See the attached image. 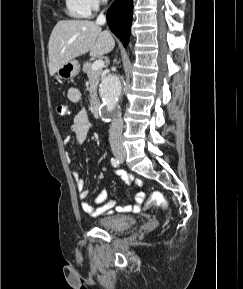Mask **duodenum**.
<instances>
[{"instance_id": "obj_1", "label": "duodenum", "mask_w": 243, "mask_h": 289, "mask_svg": "<svg viewBox=\"0 0 243 289\" xmlns=\"http://www.w3.org/2000/svg\"><path fill=\"white\" fill-rule=\"evenodd\" d=\"M92 112L95 117H101L102 114V106L99 100H94L92 103Z\"/></svg>"}]
</instances>
